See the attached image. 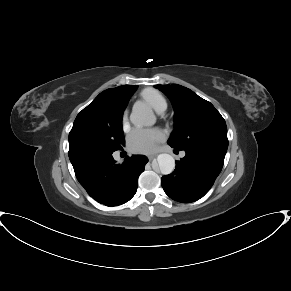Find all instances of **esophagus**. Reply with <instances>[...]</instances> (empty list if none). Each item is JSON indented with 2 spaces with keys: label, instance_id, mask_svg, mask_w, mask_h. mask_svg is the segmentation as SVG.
Returning a JSON list of instances; mask_svg holds the SVG:
<instances>
[{
  "label": "esophagus",
  "instance_id": "obj_1",
  "mask_svg": "<svg viewBox=\"0 0 291 291\" xmlns=\"http://www.w3.org/2000/svg\"><path fill=\"white\" fill-rule=\"evenodd\" d=\"M156 156H157V154L148 155V159L151 161V160H153Z\"/></svg>",
  "mask_w": 291,
  "mask_h": 291
}]
</instances>
